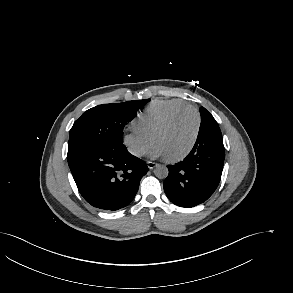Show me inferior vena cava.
Masks as SVG:
<instances>
[{"mask_svg":"<svg viewBox=\"0 0 293 293\" xmlns=\"http://www.w3.org/2000/svg\"><path fill=\"white\" fill-rule=\"evenodd\" d=\"M131 153L135 156H142L144 154L143 150L141 149H131Z\"/></svg>","mask_w":293,"mask_h":293,"instance_id":"1","label":"inferior vena cava"}]
</instances>
